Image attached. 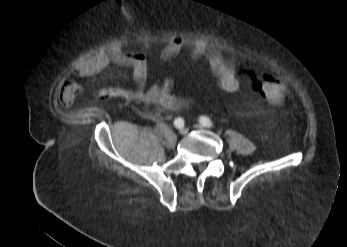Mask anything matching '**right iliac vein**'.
<instances>
[{"label":"right iliac vein","instance_id":"63e3f726","mask_svg":"<svg viewBox=\"0 0 347 247\" xmlns=\"http://www.w3.org/2000/svg\"><path fill=\"white\" fill-rule=\"evenodd\" d=\"M179 133H180L181 135H185V134L187 133L186 128H180V129H179Z\"/></svg>","mask_w":347,"mask_h":247}]
</instances>
